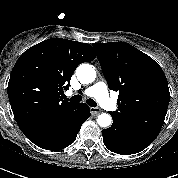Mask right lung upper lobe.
<instances>
[{"label": "right lung upper lobe", "mask_w": 178, "mask_h": 178, "mask_svg": "<svg viewBox=\"0 0 178 178\" xmlns=\"http://www.w3.org/2000/svg\"><path fill=\"white\" fill-rule=\"evenodd\" d=\"M96 54L90 44L51 38L26 50L12 69L8 97L14 117L29 138L70 123L80 103L64 100L77 66Z\"/></svg>", "instance_id": "1"}]
</instances>
